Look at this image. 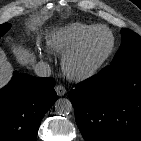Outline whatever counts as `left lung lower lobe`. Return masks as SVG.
<instances>
[{
	"instance_id": "1",
	"label": "left lung lower lobe",
	"mask_w": 141,
	"mask_h": 141,
	"mask_svg": "<svg viewBox=\"0 0 141 141\" xmlns=\"http://www.w3.org/2000/svg\"><path fill=\"white\" fill-rule=\"evenodd\" d=\"M70 100L86 141H141V57L105 67Z\"/></svg>"
}]
</instances>
